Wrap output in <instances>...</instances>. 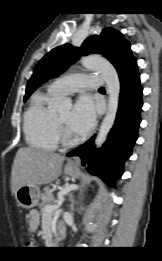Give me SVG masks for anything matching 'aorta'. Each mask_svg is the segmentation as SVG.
<instances>
[{
	"label": "aorta",
	"mask_w": 162,
	"mask_h": 261,
	"mask_svg": "<svg viewBox=\"0 0 162 261\" xmlns=\"http://www.w3.org/2000/svg\"><path fill=\"white\" fill-rule=\"evenodd\" d=\"M84 67L98 71L106 83L108 94V107L105 117L101 123L98 135L95 140L96 148H100L107 139V136L114 125L120 95V80L113 65L98 56H89L81 59ZM71 107V100L66 98L57 103L58 110H66Z\"/></svg>",
	"instance_id": "762f6f07"
}]
</instances>
